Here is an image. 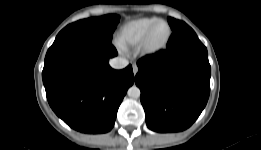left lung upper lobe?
<instances>
[{
    "label": "left lung upper lobe",
    "instance_id": "left-lung-upper-lobe-1",
    "mask_svg": "<svg viewBox=\"0 0 261 150\" xmlns=\"http://www.w3.org/2000/svg\"><path fill=\"white\" fill-rule=\"evenodd\" d=\"M168 22H169V25L171 26V29L173 31H176V30L184 27L185 25H187L185 22L180 21V20H176V19L171 18V17L168 18Z\"/></svg>",
    "mask_w": 261,
    "mask_h": 150
}]
</instances>
